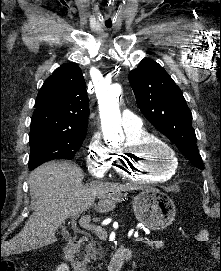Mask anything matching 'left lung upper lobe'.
Masks as SVG:
<instances>
[{"label":"left lung upper lobe","instance_id":"5c2ea615","mask_svg":"<svg viewBox=\"0 0 221 271\" xmlns=\"http://www.w3.org/2000/svg\"><path fill=\"white\" fill-rule=\"evenodd\" d=\"M137 105L146 119L161 131L191 163L204 169L196 145L192 114L186 100L170 75L149 59L129 73Z\"/></svg>","mask_w":221,"mask_h":271}]
</instances>
